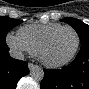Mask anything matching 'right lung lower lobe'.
<instances>
[{
    "mask_svg": "<svg viewBox=\"0 0 89 89\" xmlns=\"http://www.w3.org/2000/svg\"><path fill=\"white\" fill-rule=\"evenodd\" d=\"M6 43L0 45V89H15L19 79L29 73L28 63L13 59Z\"/></svg>",
    "mask_w": 89,
    "mask_h": 89,
    "instance_id": "1",
    "label": "right lung lower lobe"
}]
</instances>
